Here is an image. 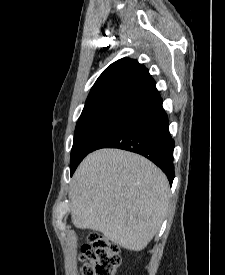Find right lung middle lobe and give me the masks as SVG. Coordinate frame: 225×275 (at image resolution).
<instances>
[{
    "mask_svg": "<svg viewBox=\"0 0 225 275\" xmlns=\"http://www.w3.org/2000/svg\"><path fill=\"white\" fill-rule=\"evenodd\" d=\"M126 116L119 113H104L78 120L71 151V175L81 160Z\"/></svg>",
    "mask_w": 225,
    "mask_h": 275,
    "instance_id": "1",
    "label": "right lung middle lobe"
}]
</instances>
